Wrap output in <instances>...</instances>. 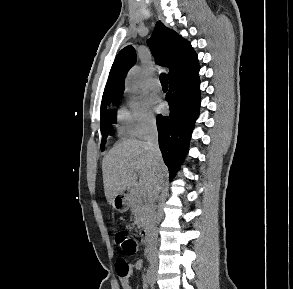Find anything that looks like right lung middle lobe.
Returning a JSON list of instances; mask_svg holds the SVG:
<instances>
[{"label": "right lung middle lobe", "mask_w": 293, "mask_h": 289, "mask_svg": "<svg viewBox=\"0 0 293 289\" xmlns=\"http://www.w3.org/2000/svg\"><path fill=\"white\" fill-rule=\"evenodd\" d=\"M120 96L111 98L101 104V133H102V142H101V150L105 149V140L108 135L112 134V124L116 123V113H108L104 111L106 105H109L113 100L119 98Z\"/></svg>", "instance_id": "1"}]
</instances>
